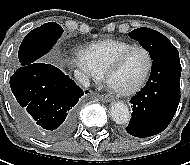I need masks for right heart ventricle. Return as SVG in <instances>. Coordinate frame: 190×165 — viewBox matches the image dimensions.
Listing matches in <instances>:
<instances>
[{
  "mask_svg": "<svg viewBox=\"0 0 190 165\" xmlns=\"http://www.w3.org/2000/svg\"><path fill=\"white\" fill-rule=\"evenodd\" d=\"M133 44L118 40V39H105L91 43L87 51L96 68L105 74L107 68L115 57L124 49L132 46Z\"/></svg>",
  "mask_w": 190,
  "mask_h": 165,
  "instance_id": "obj_1",
  "label": "right heart ventricle"
}]
</instances>
